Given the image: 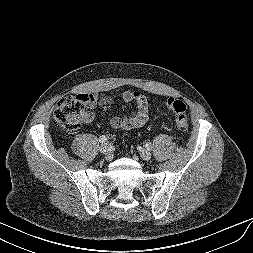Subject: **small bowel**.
I'll return each mask as SVG.
<instances>
[{
	"instance_id": "small-bowel-1",
	"label": "small bowel",
	"mask_w": 253,
	"mask_h": 253,
	"mask_svg": "<svg viewBox=\"0 0 253 253\" xmlns=\"http://www.w3.org/2000/svg\"><path fill=\"white\" fill-rule=\"evenodd\" d=\"M89 100L91 108L110 104L113 99L102 94H83ZM121 99L126 103H133L135 111L128 116L121 118L112 116L109 120L113 129L132 130L144 126L148 120V100L144 94L139 91L127 90L121 94Z\"/></svg>"
}]
</instances>
